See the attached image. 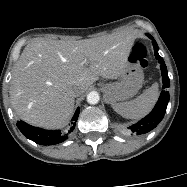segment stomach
<instances>
[{"label":"stomach","mask_w":187,"mask_h":187,"mask_svg":"<svg viewBox=\"0 0 187 187\" xmlns=\"http://www.w3.org/2000/svg\"><path fill=\"white\" fill-rule=\"evenodd\" d=\"M144 82V73L138 62H129L118 81L103 86L104 98L107 103L128 100L133 97Z\"/></svg>","instance_id":"0dacf381"}]
</instances>
